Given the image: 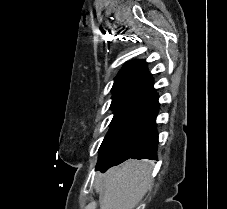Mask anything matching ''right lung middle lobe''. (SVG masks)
I'll return each instance as SVG.
<instances>
[{"label":"right lung middle lobe","mask_w":227,"mask_h":209,"mask_svg":"<svg viewBox=\"0 0 227 209\" xmlns=\"http://www.w3.org/2000/svg\"><path fill=\"white\" fill-rule=\"evenodd\" d=\"M112 109L114 117L100 146L96 167L102 171L107 170L110 163L109 158L148 125L154 112L152 108L143 107L130 101H121Z\"/></svg>","instance_id":"dd1d6c3e"}]
</instances>
